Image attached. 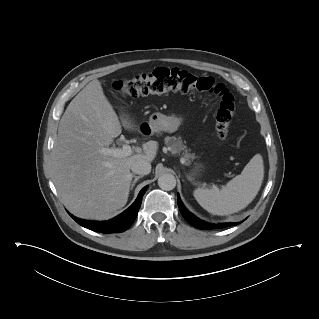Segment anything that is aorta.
<instances>
[{"label":"aorta","mask_w":319,"mask_h":319,"mask_svg":"<svg viewBox=\"0 0 319 319\" xmlns=\"http://www.w3.org/2000/svg\"><path fill=\"white\" fill-rule=\"evenodd\" d=\"M158 185L162 190L170 191L176 186V178L174 175L166 173L158 178Z\"/></svg>","instance_id":"obj_1"}]
</instances>
